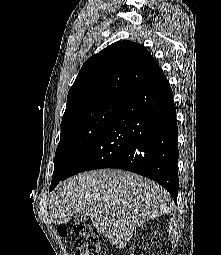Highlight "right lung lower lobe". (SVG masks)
<instances>
[{"mask_svg":"<svg viewBox=\"0 0 221 255\" xmlns=\"http://www.w3.org/2000/svg\"><path fill=\"white\" fill-rule=\"evenodd\" d=\"M177 138L173 93L162 75L119 105L62 180L87 170L118 168L158 182L176 202Z\"/></svg>","mask_w":221,"mask_h":255,"instance_id":"1","label":"right lung lower lobe"}]
</instances>
